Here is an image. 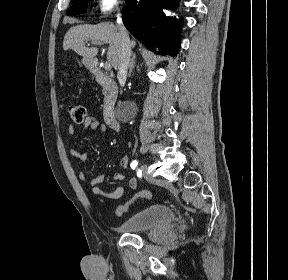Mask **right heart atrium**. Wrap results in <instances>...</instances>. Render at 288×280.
<instances>
[{
    "label": "right heart atrium",
    "instance_id": "obj_1",
    "mask_svg": "<svg viewBox=\"0 0 288 280\" xmlns=\"http://www.w3.org/2000/svg\"><path fill=\"white\" fill-rule=\"evenodd\" d=\"M120 4V0H96L95 11L100 17L107 16Z\"/></svg>",
    "mask_w": 288,
    "mask_h": 280
}]
</instances>
